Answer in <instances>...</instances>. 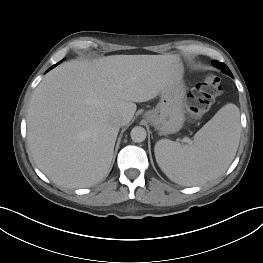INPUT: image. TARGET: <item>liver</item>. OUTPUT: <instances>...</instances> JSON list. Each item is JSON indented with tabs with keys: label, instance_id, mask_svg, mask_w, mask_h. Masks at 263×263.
<instances>
[{
	"label": "liver",
	"instance_id": "liver-1",
	"mask_svg": "<svg viewBox=\"0 0 263 263\" xmlns=\"http://www.w3.org/2000/svg\"><path fill=\"white\" fill-rule=\"evenodd\" d=\"M176 55H111L72 60L49 72L34 90L27 142L38 168L55 184L84 188L107 174L120 127L137 109L183 77Z\"/></svg>",
	"mask_w": 263,
	"mask_h": 263
}]
</instances>
